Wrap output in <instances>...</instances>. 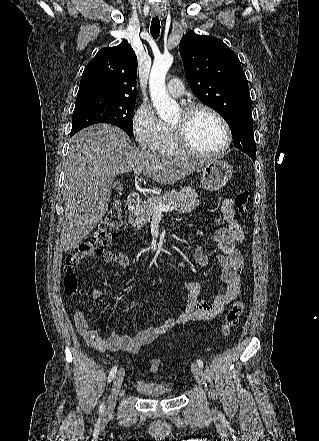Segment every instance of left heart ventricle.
<instances>
[{
	"label": "left heart ventricle",
	"instance_id": "1",
	"mask_svg": "<svg viewBox=\"0 0 319 441\" xmlns=\"http://www.w3.org/2000/svg\"><path fill=\"white\" fill-rule=\"evenodd\" d=\"M181 112L171 123H177ZM188 138L194 148L202 152H214L223 147L226 141L225 130L221 123L207 112H199L193 118Z\"/></svg>",
	"mask_w": 319,
	"mask_h": 441
}]
</instances>
